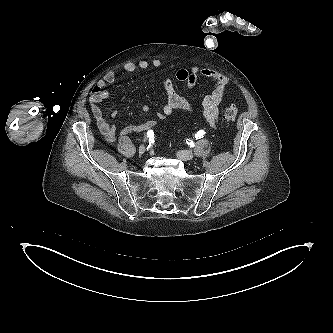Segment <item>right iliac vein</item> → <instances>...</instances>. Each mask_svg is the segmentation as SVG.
I'll use <instances>...</instances> for the list:
<instances>
[{"label":"right iliac vein","instance_id":"obj_1","mask_svg":"<svg viewBox=\"0 0 333 333\" xmlns=\"http://www.w3.org/2000/svg\"><path fill=\"white\" fill-rule=\"evenodd\" d=\"M145 146L144 145H141L140 147H139V149H138V152H139V154H143L144 152H145Z\"/></svg>","mask_w":333,"mask_h":333}]
</instances>
